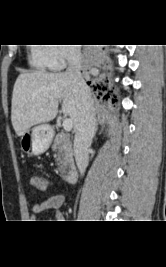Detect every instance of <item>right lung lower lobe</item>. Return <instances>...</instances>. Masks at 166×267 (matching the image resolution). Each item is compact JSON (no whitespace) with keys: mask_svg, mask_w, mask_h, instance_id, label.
I'll use <instances>...</instances> for the list:
<instances>
[{"mask_svg":"<svg viewBox=\"0 0 166 267\" xmlns=\"http://www.w3.org/2000/svg\"><path fill=\"white\" fill-rule=\"evenodd\" d=\"M87 83L90 84V82H87ZM94 90H99L100 92H105V96L109 97V94L108 93L106 94V92H110V91H108V89L103 85H98L97 87H94Z\"/></svg>","mask_w":166,"mask_h":267,"instance_id":"right-lung-lower-lobe-1","label":"right lung lower lobe"}]
</instances>
